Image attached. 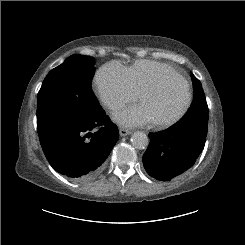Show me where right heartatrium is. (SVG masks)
<instances>
[{
  "mask_svg": "<svg viewBox=\"0 0 245 245\" xmlns=\"http://www.w3.org/2000/svg\"><path fill=\"white\" fill-rule=\"evenodd\" d=\"M93 86L99 100L113 112L122 109L138 97L126 67L115 61L108 62L97 70Z\"/></svg>",
  "mask_w": 245,
  "mask_h": 245,
  "instance_id": "d8ad5b80",
  "label": "right heart atrium"
}]
</instances>
